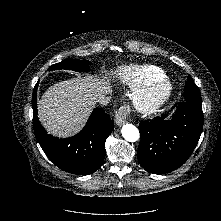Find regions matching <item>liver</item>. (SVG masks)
Returning a JSON list of instances; mask_svg holds the SVG:
<instances>
[{"label":"liver","mask_w":221,"mask_h":221,"mask_svg":"<svg viewBox=\"0 0 221 221\" xmlns=\"http://www.w3.org/2000/svg\"><path fill=\"white\" fill-rule=\"evenodd\" d=\"M108 75L78 77L50 86L38 102V117L48 133L69 137L79 132L96 104V96L111 91Z\"/></svg>","instance_id":"obj_1"}]
</instances>
